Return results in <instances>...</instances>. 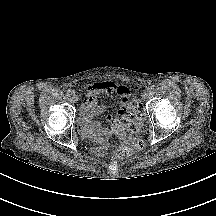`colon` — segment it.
Returning <instances> with one entry per match:
<instances>
[{"mask_svg": "<svg viewBox=\"0 0 216 216\" xmlns=\"http://www.w3.org/2000/svg\"><path fill=\"white\" fill-rule=\"evenodd\" d=\"M145 117L144 106L137 99H133L126 105L124 113L111 123L112 134L118 143L117 157H130L143 148V142L131 135L141 129Z\"/></svg>", "mask_w": 216, "mask_h": 216, "instance_id": "obj_1", "label": "colon"}]
</instances>
